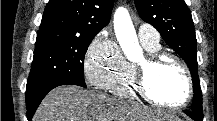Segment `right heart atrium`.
Returning a JSON list of instances; mask_svg holds the SVG:
<instances>
[{"mask_svg": "<svg viewBox=\"0 0 217 121\" xmlns=\"http://www.w3.org/2000/svg\"><path fill=\"white\" fill-rule=\"evenodd\" d=\"M123 64L124 58L118 44L107 31H102L86 51L85 75L91 85L106 89L118 77Z\"/></svg>", "mask_w": 217, "mask_h": 121, "instance_id": "obj_1", "label": "right heart atrium"}]
</instances>
